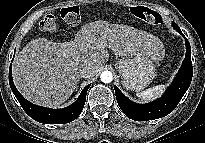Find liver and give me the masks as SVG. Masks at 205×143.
Wrapping results in <instances>:
<instances>
[{"mask_svg":"<svg viewBox=\"0 0 205 143\" xmlns=\"http://www.w3.org/2000/svg\"><path fill=\"white\" fill-rule=\"evenodd\" d=\"M97 43L105 44L121 57L149 54L158 61L164 54L154 35L98 20L82 26L73 41L31 40L14 58L12 75L16 88L34 104L60 106L78 87L80 70L85 65L93 66L97 74L109 60L106 47H97ZM158 51H161L159 57Z\"/></svg>","mask_w":205,"mask_h":143,"instance_id":"1","label":"liver"}]
</instances>
